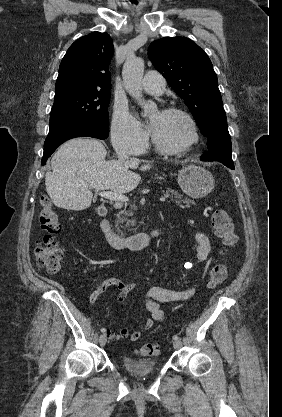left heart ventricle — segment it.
<instances>
[{
  "label": "left heart ventricle",
  "instance_id": "left-heart-ventricle-1",
  "mask_svg": "<svg viewBox=\"0 0 282 417\" xmlns=\"http://www.w3.org/2000/svg\"><path fill=\"white\" fill-rule=\"evenodd\" d=\"M153 131L167 145H179L189 138V129L183 118L154 111L150 114Z\"/></svg>",
  "mask_w": 282,
  "mask_h": 417
}]
</instances>
